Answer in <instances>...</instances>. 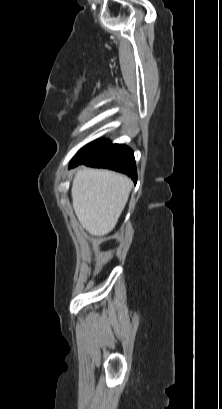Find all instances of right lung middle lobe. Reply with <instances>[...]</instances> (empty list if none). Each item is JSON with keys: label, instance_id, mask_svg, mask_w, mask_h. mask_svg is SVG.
<instances>
[{"label": "right lung middle lobe", "instance_id": "1", "mask_svg": "<svg viewBox=\"0 0 222 409\" xmlns=\"http://www.w3.org/2000/svg\"><path fill=\"white\" fill-rule=\"evenodd\" d=\"M105 144V140H98L86 145L78 152L77 156L71 160V163L82 162L86 159H89L90 157L98 153Z\"/></svg>", "mask_w": 222, "mask_h": 409}]
</instances>
